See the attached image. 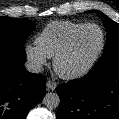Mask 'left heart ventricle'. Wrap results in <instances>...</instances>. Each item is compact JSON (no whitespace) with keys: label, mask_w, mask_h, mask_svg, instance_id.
<instances>
[{"label":"left heart ventricle","mask_w":119,"mask_h":119,"mask_svg":"<svg viewBox=\"0 0 119 119\" xmlns=\"http://www.w3.org/2000/svg\"><path fill=\"white\" fill-rule=\"evenodd\" d=\"M101 44V33L97 28H89L75 40L71 50L61 60L60 69L72 72L84 67L97 53Z\"/></svg>","instance_id":"b2bd125f"}]
</instances>
